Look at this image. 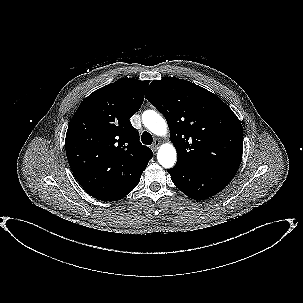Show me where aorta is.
<instances>
[{"label": "aorta", "instance_id": "aorta-1", "mask_svg": "<svg viewBox=\"0 0 303 303\" xmlns=\"http://www.w3.org/2000/svg\"><path fill=\"white\" fill-rule=\"evenodd\" d=\"M142 122L144 126L157 136H166L167 123L156 111L147 110L142 114ZM157 160L164 168H171L177 160V154L171 143H165L160 146L157 153Z\"/></svg>", "mask_w": 303, "mask_h": 303}]
</instances>
